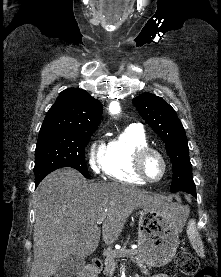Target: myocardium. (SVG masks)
Masks as SVG:
<instances>
[{
  "label": "myocardium",
  "instance_id": "obj_1",
  "mask_svg": "<svg viewBox=\"0 0 221 277\" xmlns=\"http://www.w3.org/2000/svg\"><path fill=\"white\" fill-rule=\"evenodd\" d=\"M152 154L156 155L162 164V173H161L160 177L157 179H150L149 177H147V175L144 172V162H145L146 158ZM133 169H134L136 175L143 182L157 183V182L161 181L164 178V176L166 175L167 162H166L164 155L158 149L151 147V146H146V147H142V148L138 149L135 152L134 158H133Z\"/></svg>",
  "mask_w": 221,
  "mask_h": 277
}]
</instances>
